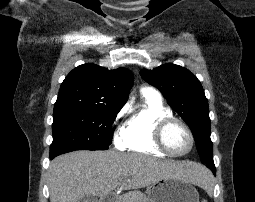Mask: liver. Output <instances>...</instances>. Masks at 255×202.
Returning a JSON list of instances; mask_svg holds the SVG:
<instances>
[{"mask_svg": "<svg viewBox=\"0 0 255 202\" xmlns=\"http://www.w3.org/2000/svg\"><path fill=\"white\" fill-rule=\"evenodd\" d=\"M206 169L194 162L160 160L137 153L75 151L56 157L49 168L50 202H79L117 187L138 189L176 177L200 185Z\"/></svg>", "mask_w": 255, "mask_h": 202, "instance_id": "obj_1", "label": "liver"}]
</instances>
